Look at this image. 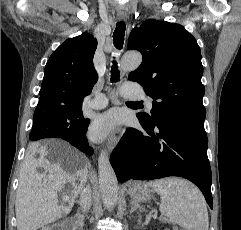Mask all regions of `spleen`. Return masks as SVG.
Returning <instances> with one entry per match:
<instances>
[{"instance_id":"1","label":"spleen","mask_w":241,"mask_h":230,"mask_svg":"<svg viewBox=\"0 0 241 230\" xmlns=\"http://www.w3.org/2000/svg\"><path fill=\"white\" fill-rule=\"evenodd\" d=\"M161 197L160 212L185 230H208L206 202L190 182L167 178L148 183Z\"/></svg>"}]
</instances>
